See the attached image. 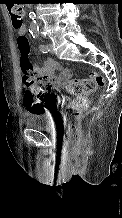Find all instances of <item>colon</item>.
Listing matches in <instances>:
<instances>
[{
    "mask_svg": "<svg viewBox=\"0 0 122 218\" xmlns=\"http://www.w3.org/2000/svg\"><path fill=\"white\" fill-rule=\"evenodd\" d=\"M8 9L13 27L19 30L23 26L24 16L21 4L15 0H10ZM17 48L20 54L22 82L27 89L24 104L30 112H40L41 107L35 101V97H44L46 87L37 83L32 73V63L29 57L30 42L25 34H18ZM105 84L106 80L104 76L96 71L91 73L90 78L71 79L66 82V91L74 96L64 109V118L69 130L75 127L82 113L88 108V96L96 90L103 88Z\"/></svg>",
    "mask_w": 122,
    "mask_h": 218,
    "instance_id": "colon-1",
    "label": "colon"
}]
</instances>
